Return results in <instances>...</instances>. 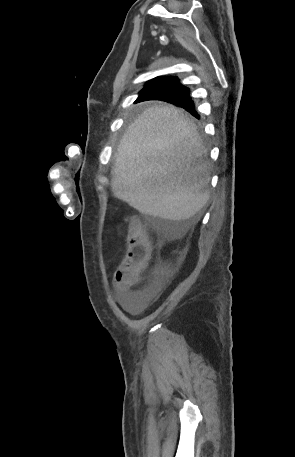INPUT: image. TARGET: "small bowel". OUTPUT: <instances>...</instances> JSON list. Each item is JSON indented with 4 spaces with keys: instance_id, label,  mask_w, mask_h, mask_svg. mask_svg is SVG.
I'll use <instances>...</instances> for the list:
<instances>
[{
    "instance_id": "small-bowel-1",
    "label": "small bowel",
    "mask_w": 295,
    "mask_h": 457,
    "mask_svg": "<svg viewBox=\"0 0 295 457\" xmlns=\"http://www.w3.org/2000/svg\"><path fill=\"white\" fill-rule=\"evenodd\" d=\"M114 285L121 305L130 313L143 311L151 302V295L148 292H133L131 287L127 286L126 278L119 275L118 271L114 276Z\"/></svg>"
}]
</instances>
